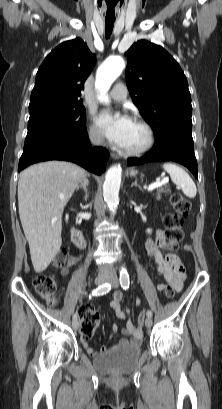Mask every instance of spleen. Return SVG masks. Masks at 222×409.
Listing matches in <instances>:
<instances>
[{"label":"spleen","instance_id":"spleen-1","mask_svg":"<svg viewBox=\"0 0 222 409\" xmlns=\"http://www.w3.org/2000/svg\"><path fill=\"white\" fill-rule=\"evenodd\" d=\"M162 167L169 173L171 180L181 187L185 196L189 198L196 196V185L183 168L173 163H164Z\"/></svg>","mask_w":222,"mask_h":409}]
</instances>
